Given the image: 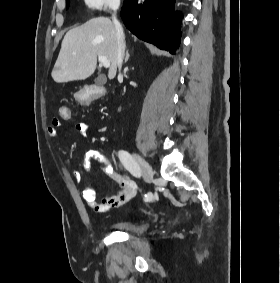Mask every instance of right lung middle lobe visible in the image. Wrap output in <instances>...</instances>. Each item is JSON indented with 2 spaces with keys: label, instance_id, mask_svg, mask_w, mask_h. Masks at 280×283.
Returning <instances> with one entry per match:
<instances>
[{
  "label": "right lung middle lobe",
  "instance_id": "dd1d6c3e",
  "mask_svg": "<svg viewBox=\"0 0 280 283\" xmlns=\"http://www.w3.org/2000/svg\"><path fill=\"white\" fill-rule=\"evenodd\" d=\"M69 7V0H66V8Z\"/></svg>",
  "mask_w": 280,
  "mask_h": 283
}]
</instances>
